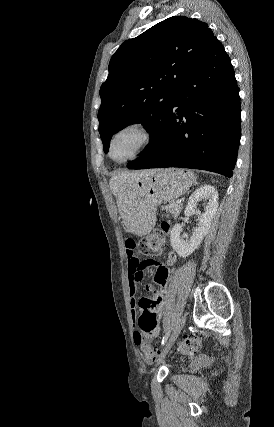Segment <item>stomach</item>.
Returning a JSON list of instances; mask_svg holds the SVG:
<instances>
[{"label":"stomach","instance_id":"obj_1","mask_svg":"<svg viewBox=\"0 0 274 427\" xmlns=\"http://www.w3.org/2000/svg\"><path fill=\"white\" fill-rule=\"evenodd\" d=\"M193 184H196L194 172L191 170H154L143 178L134 176L132 190H126L125 200L119 206V214L129 231L136 235H146L156 223V208L174 198L183 196ZM127 217H133L129 221Z\"/></svg>","mask_w":274,"mask_h":427}]
</instances>
